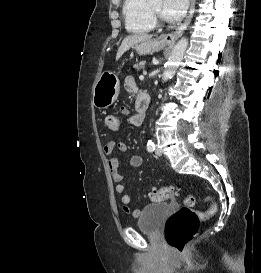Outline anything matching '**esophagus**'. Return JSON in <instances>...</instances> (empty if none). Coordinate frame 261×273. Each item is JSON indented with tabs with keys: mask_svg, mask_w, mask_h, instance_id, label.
<instances>
[{
	"mask_svg": "<svg viewBox=\"0 0 261 273\" xmlns=\"http://www.w3.org/2000/svg\"><path fill=\"white\" fill-rule=\"evenodd\" d=\"M194 11H195V0H191L190 10L183 24H181L176 29V31L172 33L162 34L160 36V41L166 45H170V46L174 45L176 40L183 34L184 30H186V28L190 24Z\"/></svg>",
	"mask_w": 261,
	"mask_h": 273,
	"instance_id": "1",
	"label": "esophagus"
}]
</instances>
